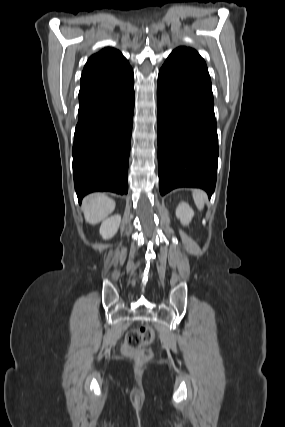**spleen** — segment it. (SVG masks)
Returning a JSON list of instances; mask_svg holds the SVG:
<instances>
[{
	"label": "spleen",
	"instance_id": "obj_1",
	"mask_svg": "<svg viewBox=\"0 0 285 427\" xmlns=\"http://www.w3.org/2000/svg\"><path fill=\"white\" fill-rule=\"evenodd\" d=\"M192 195L197 208L202 210L206 200V193L202 190H193Z\"/></svg>",
	"mask_w": 285,
	"mask_h": 427
}]
</instances>
